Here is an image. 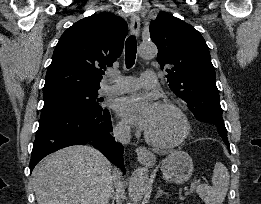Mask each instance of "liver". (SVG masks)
<instances>
[{"mask_svg":"<svg viewBox=\"0 0 261 204\" xmlns=\"http://www.w3.org/2000/svg\"><path fill=\"white\" fill-rule=\"evenodd\" d=\"M112 166L91 146L75 145L45 157L32 172L38 204H108Z\"/></svg>","mask_w":261,"mask_h":204,"instance_id":"liver-1","label":"liver"}]
</instances>
